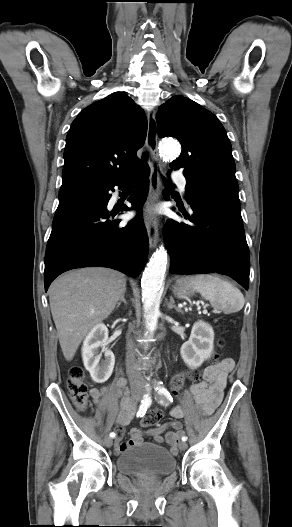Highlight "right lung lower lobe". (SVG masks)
<instances>
[{
	"label": "right lung lower lobe",
	"mask_w": 292,
	"mask_h": 527,
	"mask_svg": "<svg viewBox=\"0 0 292 527\" xmlns=\"http://www.w3.org/2000/svg\"><path fill=\"white\" fill-rule=\"evenodd\" d=\"M149 174L148 166L136 174L139 180L134 188L137 187L128 200L139 212L125 225L119 219L113 220L120 208L110 211L107 204L111 197L108 191L116 185L125 188L128 176L103 186H61L45 253V291L58 275L74 268L110 267L132 277L140 274L149 251L141 212L149 189ZM121 210L129 208L122 206Z\"/></svg>",
	"instance_id": "98d812e1"
}]
</instances>
